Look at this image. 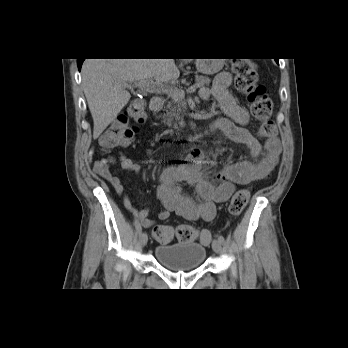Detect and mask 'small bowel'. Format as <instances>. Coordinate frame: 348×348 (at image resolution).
<instances>
[{
	"instance_id": "small-bowel-1",
	"label": "small bowel",
	"mask_w": 348,
	"mask_h": 348,
	"mask_svg": "<svg viewBox=\"0 0 348 348\" xmlns=\"http://www.w3.org/2000/svg\"><path fill=\"white\" fill-rule=\"evenodd\" d=\"M231 83L232 75L229 72H222L216 77L212 90L200 89V98L207 101L212 96L215 97L224 114L223 117L215 119L212 130L223 134L233 142L245 145L258 162H242L219 171H208L209 162L204 158L203 152L198 148L192 149L189 163L168 166L159 178L157 197L163 207L159 213L160 220H166L175 213L190 221H211L216 215V205L228 201L236 185H248L264 180L275 170L281 153L279 139L273 136L262 145L249 132L247 129L249 114L230 92ZM118 161L119 169L122 171L137 173L141 170L139 164L124 155H121ZM93 170L122 196L124 206L140 225L145 228L155 225V221L149 218L148 208H138L131 203L124 192L121 178L116 175V171L111 168L108 161L95 162ZM181 182L192 185L198 198L185 196L180 187Z\"/></svg>"
}]
</instances>
